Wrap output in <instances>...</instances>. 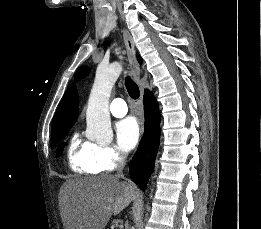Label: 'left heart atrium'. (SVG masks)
Instances as JSON below:
<instances>
[{
	"mask_svg": "<svg viewBox=\"0 0 261 229\" xmlns=\"http://www.w3.org/2000/svg\"><path fill=\"white\" fill-rule=\"evenodd\" d=\"M115 130L117 142L124 151H131L138 144L140 127L134 118L129 117L118 122Z\"/></svg>",
	"mask_w": 261,
	"mask_h": 229,
	"instance_id": "1",
	"label": "left heart atrium"
}]
</instances>
